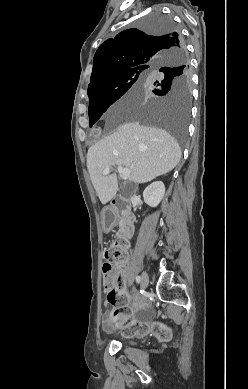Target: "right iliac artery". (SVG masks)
Wrapping results in <instances>:
<instances>
[{
  "label": "right iliac artery",
  "mask_w": 248,
  "mask_h": 389,
  "mask_svg": "<svg viewBox=\"0 0 248 389\" xmlns=\"http://www.w3.org/2000/svg\"><path fill=\"white\" fill-rule=\"evenodd\" d=\"M140 281H141V278H140V276H137V277H136V282L139 284V283H140Z\"/></svg>",
  "instance_id": "obj_1"
}]
</instances>
